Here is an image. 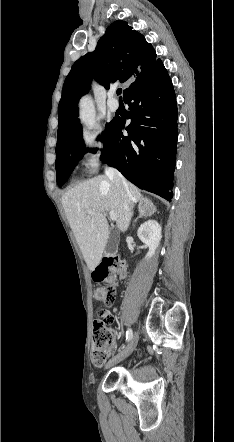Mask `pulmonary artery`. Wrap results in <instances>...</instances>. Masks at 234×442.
Returning <instances> with one entry per match:
<instances>
[{
	"instance_id": "obj_1",
	"label": "pulmonary artery",
	"mask_w": 234,
	"mask_h": 442,
	"mask_svg": "<svg viewBox=\"0 0 234 442\" xmlns=\"http://www.w3.org/2000/svg\"><path fill=\"white\" fill-rule=\"evenodd\" d=\"M107 106H108V109H109L111 112H115V111H117L118 108H119V103H118V101L115 99V92H114V91H111V92L108 94Z\"/></svg>"
}]
</instances>
